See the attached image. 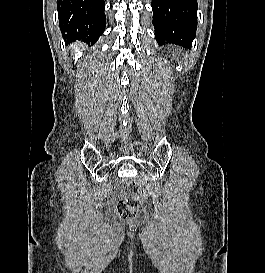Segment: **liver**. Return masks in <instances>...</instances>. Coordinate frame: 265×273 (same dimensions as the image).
I'll list each match as a JSON object with an SVG mask.
<instances>
[{
    "label": "liver",
    "instance_id": "obj_1",
    "mask_svg": "<svg viewBox=\"0 0 265 273\" xmlns=\"http://www.w3.org/2000/svg\"><path fill=\"white\" fill-rule=\"evenodd\" d=\"M84 48L85 46L83 45V44H79V45H76L75 47H74V49L75 50H77V49H79V48Z\"/></svg>",
    "mask_w": 265,
    "mask_h": 273
}]
</instances>
